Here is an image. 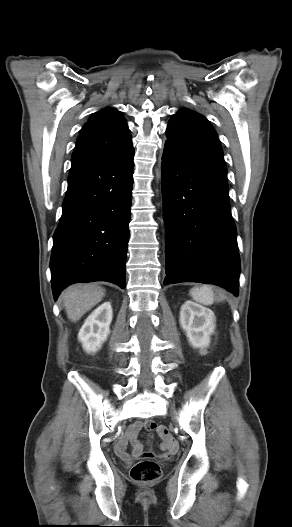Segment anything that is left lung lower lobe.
<instances>
[{
	"label": "left lung lower lobe",
	"instance_id": "obj_1",
	"mask_svg": "<svg viewBox=\"0 0 292 527\" xmlns=\"http://www.w3.org/2000/svg\"><path fill=\"white\" fill-rule=\"evenodd\" d=\"M162 191L164 283H211L237 296L240 259L225 163L165 144Z\"/></svg>",
	"mask_w": 292,
	"mask_h": 527
}]
</instances>
